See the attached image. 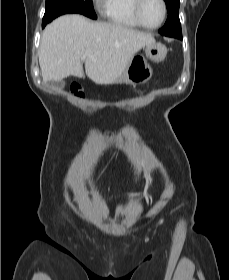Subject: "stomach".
Instances as JSON below:
<instances>
[{
    "label": "stomach",
    "mask_w": 229,
    "mask_h": 280,
    "mask_svg": "<svg viewBox=\"0 0 229 280\" xmlns=\"http://www.w3.org/2000/svg\"><path fill=\"white\" fill-rule=\"evenodd\" d=\"M145 56H134L125 71L114 83L135 84L148 81L152 76V68L147 60L161 62L167 55V48L161 43H152L144 47Z\"/></svg>",
    "instance_id": "obj_1"
}]
</instances>
